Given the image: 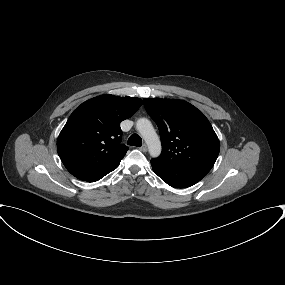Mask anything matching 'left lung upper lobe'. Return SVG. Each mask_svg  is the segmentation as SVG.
<instances>
[{"label": "left lung upper lobe", "mask_w": 285, "mask_h": 285, "mask_svg": "<svg viewBox=\"0 0 285 285\" xmlns=\"http://www.w3.org/2000/svg\"><path fill=\"white\" fill-rule=\"evenodd\" d=\"M144 106L159 128L162 153L158 159L207 174L218 157L220 143L203 113L177 99L145 98Z\"/></svg>", "instance_id": "5c2ea615"}]
</instances>
